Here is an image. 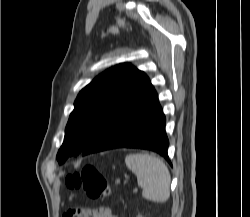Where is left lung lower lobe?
<instances>
[{
	"label": "left lung lower lobe",
	"mask_w": 250,
	"mask_h": 217,
	"mask_svg": "<svg viewBox=\"0 0 250 217\" xmlns=\"http://www.w3.org/2000/svg\"><path fill=\"white\" fill-rule=\"evenodd\" d=\"M165 116L157 93L146 77L125 101L102 133L81 154L116 148L152 150L170 164Z\"/></svg>",
	"instance_id": "0a47b994"
}]
</instances>
